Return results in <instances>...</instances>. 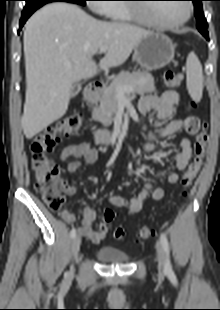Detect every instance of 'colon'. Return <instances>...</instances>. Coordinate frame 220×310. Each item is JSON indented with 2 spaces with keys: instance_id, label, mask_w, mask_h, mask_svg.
Here are the masks:
<instances>
[{
  "instance_id": "1",
  "label": "colon",
  "mask_w": 220,
  "mask_h": 310,
  "mask_svg": "<svg viewBox=\"0 0 220 310\" xmlns=\"http://www.w3.org/2000/svg\"><path fill=\"white\" fill-rule=\"evenodd\" d=\"M164 81L169 87H179L182 83V77L174 71L168 70L164 73ZM191 107L194 104L191 103ZM83 122V114L79 111H73L56 125L47 128L37 134L30 146L32 168L35 175V189L40 193L47 207L53 211L60 210L66 200L68 185L61 178V170L49 157V153L58 144L63 137L74 135L78 132ZM208 124L204 123L201 130L196 133L193 147V158L181 178V186L189 187L204 162L206 146L208 143ZM115 214L112 210L106 209L103 214L105 223L114 220ZM154 230L149 227H142L138 231V239L145 240L150 238ZM125 232L122 228L114 231L116 239H122Z\"/></svg>"
}]
</instances>
